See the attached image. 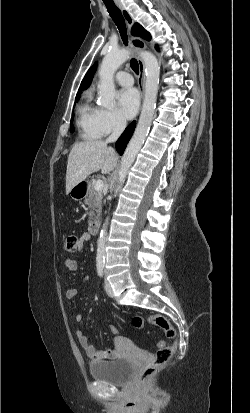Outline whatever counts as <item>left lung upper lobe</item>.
<instances>
[{
    "label": "left lung upper lobe",
    "instance_id": "5c2ea615",
    "mask_svg": "<svg viewBox=\"0 0 250 413\" xmlns=\"http://www.w3.org/2000/svg\"><path fill=\"white\" fill-rule=\"evenodd\" d=\"M132 34L141 36L146 40H150L151 38L150 34L146 30H144V28L140 26L138 23L134 24V26L132 27Z\"/></svg>",
    "mask_w": 250,
    "mask_h": 413
}]
</instances>
